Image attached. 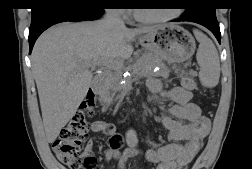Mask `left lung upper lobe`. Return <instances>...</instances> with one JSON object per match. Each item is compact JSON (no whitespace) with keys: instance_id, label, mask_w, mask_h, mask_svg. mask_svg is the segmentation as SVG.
<instances>
[{"instance_id":"1","label":"left lung upper lobe","mask_w":252,"mask_h":169,"mask_svg":"<svg viewBox=\"0 0 252 169\" xmlns=\"http://www.w3.org/2000/svg\"><path fill=\"white\" fill-rule=\"evenodd\" d=\"M192 5L186 8L182 17L216 16L214 0H191Z\"/></svg>"}]
</instances>
